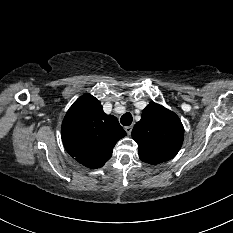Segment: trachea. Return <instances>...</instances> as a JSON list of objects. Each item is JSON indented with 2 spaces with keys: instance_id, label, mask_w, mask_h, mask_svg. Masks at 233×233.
<instances>
[{
  "instance_id": "trachea-1",
  "label": "trachea",
  "mask_w": 233,
  "mask_h": 233,
  "mask_svg": "<svg viewBox=\"0 0 233 233\" xmlns=\"http://www.w3.org/2000/svg\"><path fill=\"white\" fill-rule=\"evenodd\" d=\"M132 121L133 117L132 114L129 112L125 113L120 119L121 124L124 126H129L132 123Z\"/></svg>"
}]
</instances>
